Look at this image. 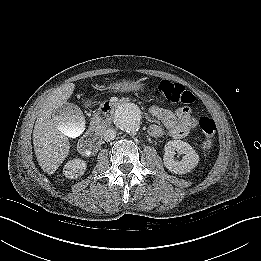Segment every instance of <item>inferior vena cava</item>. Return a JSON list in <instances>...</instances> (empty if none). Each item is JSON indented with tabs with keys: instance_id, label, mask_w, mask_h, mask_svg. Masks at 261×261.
<instances>
[{
	"instance_id": "1",
	"label": "inferior vena cava",
	"mask_w": 261,
	"mask_h": 261,
	"mask_svg": "<svg viewBox=\"0 0 261 261\" xmlns=\"http://www.w3.org/2000/svg\"><path fill=\"white\" fill-rule=\"evenodd\" d=\"M116 133L115 129L109 128L104 131L103 138L106 142L112 141L116 137Z\"/></svg>"
}]
</instances>
